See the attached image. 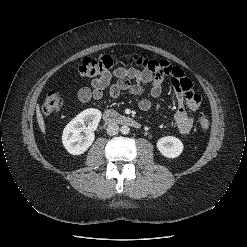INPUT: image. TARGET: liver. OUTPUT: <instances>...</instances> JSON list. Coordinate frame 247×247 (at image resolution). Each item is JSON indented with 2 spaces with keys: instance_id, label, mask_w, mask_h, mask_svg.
Returning <instances> with one entry per match:
<instances>
[{
  "instance_id": "obj_1",
  "label": "liver",
  "mask_w": 247,
  "mask_h": 247,
  "mask_svg": "<svg viewBox=\"0 0 247 247\" xmlns=\"http://www.w3.org/2000/svg\"><path fill=\"white\" fill-rule=\"evenodd\" d=\"M36 116H37V122H38L39 128L42 131V133L45 134L46 133L45 121L41 114L39 105L36 106Z\"/></svg>"
}]
</instances>
